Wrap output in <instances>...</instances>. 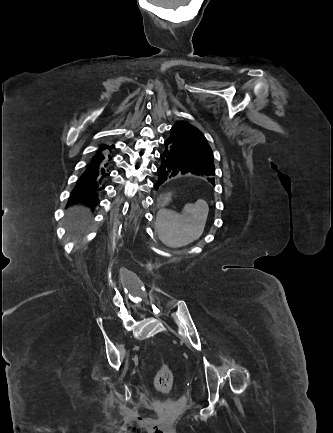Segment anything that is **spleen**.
Wrapping results in <instances>:
<instances>
[{
  "instance_id": "1",
  "label": "spleen",
  "mask_w": 333,
  "mask_h": 433,
  "mask_svg": "<svg viewBox=\"0 0 333 433\" xmlns=\"http://www.w3.org/2000/svg\"><path fill=\"white\" fill-rule=\"evenodd\" d=\"M178 212L179 209L174 207L159 210L155 221L159 240L170 248H180L200 238L204 232L208 206L204 201H198L186 205L187 213Z\"/></svg>"
}]
</instances>
